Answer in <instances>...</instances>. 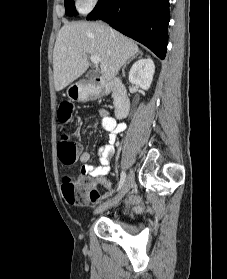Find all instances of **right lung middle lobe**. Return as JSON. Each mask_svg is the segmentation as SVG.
I'll return each instance as SVG.
<instances>
[{
    "label": "right lung middle lobe",
    "instance_id": "dd1d6c3e",
    "mask_svg": "<svg viewBox=\"0 0 227 279\" xmlns=\"http://www.w3.org/2000/svg\"><path fill=\"white\" fill-rule=\"evenodd\" d=\"M65 10L67 16L76 15L77 12L75 11L74 1L73 0H65Z\"/></svg>",
    "mask_w": 227,
    "mask_h": 279
}]
</instances>
